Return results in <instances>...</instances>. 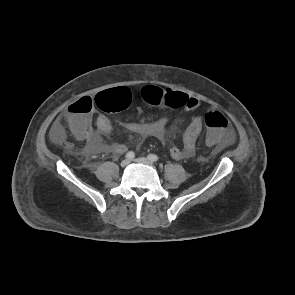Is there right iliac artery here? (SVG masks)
<instances>
[{"mask_svg": "<svg viewBox=\"0 0 295 295\" xmlns=\"http://www.w3.org/2000/svg\"><path fill=\"white\" fill-rule=\"evenodd\" d=\"M134 157H135V153L132 152V151H129V152L126 154V158L129 159V160H132Z\"/></svg>", "mask_w": 295, "mask_h": 295, "instance_id": "obj_1", "label": "right iliac artery"}]
</instances>
